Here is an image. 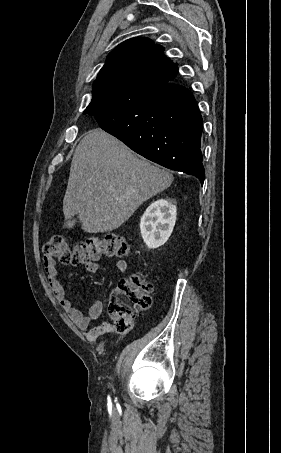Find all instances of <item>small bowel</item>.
<instances>
[{
    "mask_svg": "<svg viewBox=\"0 0 281 453\" xmlns=\"http://www.w3.org/2000/svg\"><path fill=\"white\" fill-rule=\"evenodd\" d=\"M117 270L120 273H125L128 269V263L119 259L116 262ZM89 272H97L98 264L89 262L87 264ZM44 271L47 276L48 286L54 293L55 297L59 299L62 307L76 323L77 327L84 332V337L90 341H97L103 338L105 334L111 333L114 326L110 322H100L95 327L89 329L90 324L100 318L104 304L102 299H98L89 306L88 314L83 315L77 307L73 305L72 300L66 295L63 285L58 277V270L54 259H46L44 261Z\"/></svg>",
    "mask_w": 281,
    "mask_h": 453,
    "instance_id": "small-bowel-1",
    "label": "small bowel"
}]
</instances>
